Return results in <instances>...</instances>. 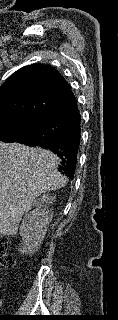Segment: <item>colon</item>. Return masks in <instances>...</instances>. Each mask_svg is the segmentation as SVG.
Instances as JSON below:
<instances>
[{"label": "colon", "instance_id": "colon-1", "mask_svg": "<svg viewBox=\"0 0 118 320\" xmlns=\"http://www.w3.org/2000/svg\"><path fill=\"white\" fill-rule=\"evenodd\" d=\"M9 245V241L5 238L0 240V264L11 265L12 261L9 259L6 254V248Z\"/></svg>", "mask_w": 118, "mask_h": 320}]
</instances>
